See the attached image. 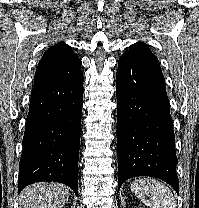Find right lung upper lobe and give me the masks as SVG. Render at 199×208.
<instances>
[{
	"instance_id": "right-lung-upper-lobe-1",
	"label": "right lung upper lobe",
	"mask_w": 199,
	"mask_h": 208,
	"mask_svg": "<svg viewBox=\"0 0 199 208\" xmlns=\"http://www.w3.org/2000/svg\"><path fill=\"white\" fill-rule=\"evenodd\" d=\"M81 74V60L70 46L58 43L48 49L39 61L34 88L59 84Z\"/></svg>"
}]
</instances>
